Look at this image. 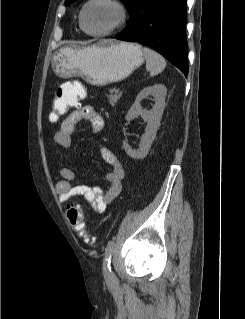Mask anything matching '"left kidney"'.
Returning a JSON list of instances; mask_svg holds the SVG:
<instances>
[{
  "instance_id": "5707ae66",
  "label": "left kidney",
  "mask_w": 245,
  "mask_h": 319,
  "mask_svg": "<svg viewBox=\"0 0 245 319\" xmlns=\"http://www.w3.org/2000/svg\"><path fill=\"white\" fill-rule=\"evenodd\" d=\"M167 89L162 84H155L146 87L137 95L134 104L131 106L126 114V120L131 121L136 117H141L147 122L145 133L141 137L139 148L133 150L127 141H123V148L125 152L134 159H143L149 152L151 144L153 143L156 132L160 126V121L165 108V98ZM153 96L155 105L152 110H146L141 107L140 102L148 97Z\"/></svg>"
}]
</instances>
